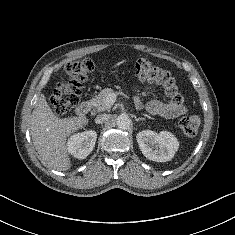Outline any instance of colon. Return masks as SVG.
Here are the masks:
<instances>
[{
  "mask_svg": "<svg viewBox=\"0 0 235 235\" xmlns=\"http://www.w3.org/2000/svg\"><path fill=\"white\" fill-rule=\"evenodd\" d=\"M94 69V62L90 58H81L68 62L64 70L68 80L58 84L50 96V104L57 115H63L73 108L79 101L83 82ZM135 76L149 83L159 86L174 103H182L183 98L178 92L171 74L152 64L146 59H139L134 66ZM180 128L187 136H195L200 126V119L195 114L183 116L179 121Z\"/></svg>",
  "mask_w": 235,
  "mask_h": 235,
  "instance_id": "obj_1",
  "label": "colon"
}]
</instances>
